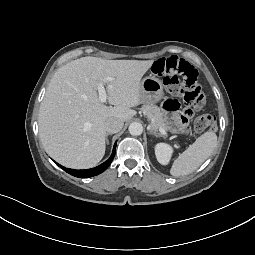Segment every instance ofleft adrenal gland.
<instances>
[{
  "label": "left adrenal gland",
  "instance_id": "1",
  "mask_svg": "<svg viewBox=\"0 0 255 255\" xmlns=\"http://www.w3.org/2000/svg\"><path fill=\"white\" fill-rule=\"evenodd\" d=\"M148 131H149V134H153V135L156 136V137L161 136L160 134H158V133H156V132H154V131H152V130H148Z\"/></svg>",
  "mask_w": 255,
  "mask_h": 255
}]
</instances>
